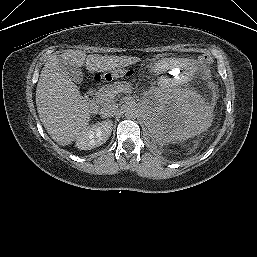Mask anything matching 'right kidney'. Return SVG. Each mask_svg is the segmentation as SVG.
<instances>
[{"mask_svg":"<svg viewBox=\"0 0 257 257\" xmlns=\"http://www.w3.org/2000/svg\"><path fill=\"white\" fill-rule=\"evenodd\" d=\"M112 121H102L85 128L76 138V146L81 150H91L104 144L111 135Z\"/></svg>","mask_w":257,"mask_h":257,"instance_id":"1","label":"right kidney"}]
</instances>
